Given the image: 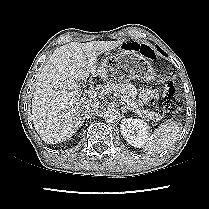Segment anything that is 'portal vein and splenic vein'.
<instances>
[{
    "label": "portal vein and splenic vein",
    "instance_id": "1",
    "mask_svg": "<svg viewBox=\"0 0 209 209\" xmlns=\"http://www.w3.org/2000/svg\"><path fill=\"white\" fill-rule=\"evenodd\" d=\"M97 95H98V94H97V91H95V90H90V91L87 92V96H88L89 98H95ZM121 99H122L123 101L126 102L127 96L122 95V96H121Z\"/></svg>",
    "mask_w": 209,
    "mask_h": 209
}]
</instances>
